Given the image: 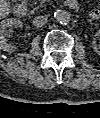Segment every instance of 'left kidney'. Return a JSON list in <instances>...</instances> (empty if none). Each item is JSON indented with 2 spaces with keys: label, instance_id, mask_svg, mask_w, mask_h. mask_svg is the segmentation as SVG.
<instances>
[{
  "label": "left kidney",
  "instance_id": "left-kidney-1",
  "mask_svg": "<svg viewBox=\"0 0 100 118\" xmlns=\"http://www.w3.org/2000/svg\"><path fill=\"white\" fill-rule=\"evenodd\" d=\"M94 49H97V45L94 43Z\"/></svg>",
  "mask_w": 100,
  "mask_h": 118
}]
</instances>
